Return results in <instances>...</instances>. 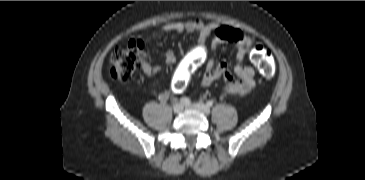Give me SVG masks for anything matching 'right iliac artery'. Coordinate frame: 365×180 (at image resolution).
I'll return each mask as SVG.
<instances>
[{
  "instance_id": "1",
  "label": "right iliac artery",
  "mask_w": 365,
  "mask_h": 180,
  "mask_svg": "<svg viewBox=\"0 0 365 180\" xmlns=\"http://www.w3.org/2000/svg\"><path fill=\"white\" fill-rule=\"evenodd\" d=\"M191 103V100L189 98H181L180 99V104L182 105H189Z\"/></svg>"
}]
</instances>
